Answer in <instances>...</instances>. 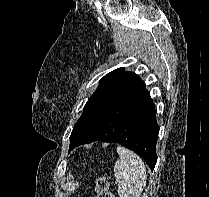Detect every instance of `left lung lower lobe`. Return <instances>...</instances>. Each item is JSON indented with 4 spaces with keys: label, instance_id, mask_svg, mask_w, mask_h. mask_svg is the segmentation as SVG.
Instances as JSON below:
<instances>
[{
    "label": "left lung lower lobe",
    "instance_id": "obj_1",
    "mask_svg": "<svg viewBox=\"0 0 209 197\" xmlns=\"http://www.w3.org/2000/svg\"><path fill=\"white\" fill-rule=\"evenodd\" d=\"M158 132L155 106L145 83L139 81L104 110L69 152L94 141L115 142L135 151L153 170Z\"/></svg>",
    "mask_w": 209,
    "mask_h": 197
}]
</instances>
